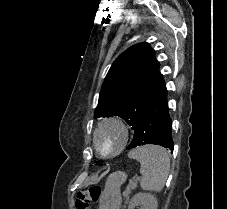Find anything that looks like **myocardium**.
<instances>
[{
	"label": "myocardium",
	"instance_id": "myocardium-1",
	"mask_svg": "<svg viewBox=\"0 0 227 209\" xmlns=\"http://www.w3.org/2000/svg\"><path fill=\"white\" fill-rule=\"evenodd\" d=\"M106 124L116 125L122 133V139H121L119 146L116 149H114L108 153H102L97 147L96 135H97L98 131ZM129 137H130V131H129V128H128L126 122L118 116L111 115V116L103 117L97 122V124L95 125V127L91 133V143H92V147H93L94 151L96 152V154L99 157L110 158V157H113V156L119 154L125 148V146L128 143Z\"/></svg>",
	"mask_w": 227,
	"mask_h": 209
}]
</instances>
